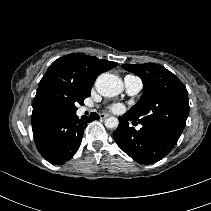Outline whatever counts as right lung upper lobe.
<instances>
[{
    "instance_id": "right-lung-upper-lobe-1",
    "label": "right lung upper lobe",
    "mask_w": 211,
    "mask_h": 211,
    "mask_svg": "<svg viewBox=\"0 0 211 211\" xmlns=\"http://www.w3.org/2000/svg\"><path fill=\"white\" fill-rule=\"evenodd\" d=\"M116 62L74 53L55 60L41 79L33 102L32 126L56 118L50 99L67 89L91 91L97 76L116 66Z\"/></svg>"
}]
</instances>
